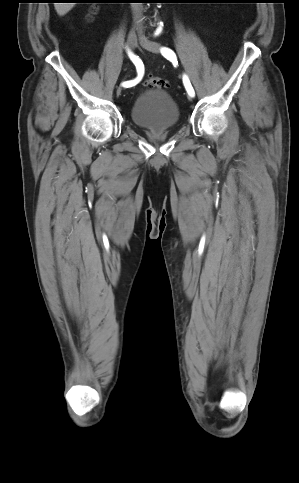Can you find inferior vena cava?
I'll use <instances>...</instances> for the list:
<instances>
[{
    "mask_svg": "<svg viewBox=\"0 0 299 483\" xmlns=\"http://www.w3.org/2000/svg\"><path fill=\"white\" fill-rule=\"evenodd\" d=\"M142 7H143L142 3H131V8L133 11L135 21H138L141 18Z\"/></svg>",
    "mask_w": 299,
    "mask_h": 483,
    "instance_id": "602c4592",
    "label": "inferior vena cava"
}]
</instances>
